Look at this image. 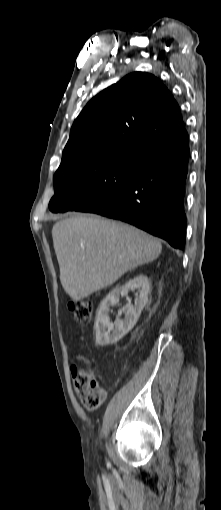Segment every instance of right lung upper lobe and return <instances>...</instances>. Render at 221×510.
I'll return each mask as SVG.
<instances>
[{
    "label": "right lung upper lobe",
    "mask_w": 221,
    "mask_h": 510,
    "mask_svg": "<svg viewBox=\"0 0 221 510\" xmlns=\"http://www.w3.org/2000/svg\"><path fill=\"white\" fill-rule=\"evenodd\" d=\"M185 133L168 89L155 76L135 72L89 101L73 123L61 162L123 147L149 150Z\"/></svg>",
    "instance_id": "obj_1"
}]
</instances>
